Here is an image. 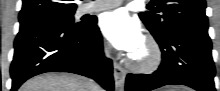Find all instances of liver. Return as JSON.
<instances>
[{
    "label": "liver",
    "mask_w": 220,
    "mask_h": 91,
    "mask_svg": "<svg viewBox=\"0 0 220 91\" xmlns=\"http://www.w3.org/2000/svg\"><path fill=\"white\" fill-rule=\"evenodd\" d=\"M19 91H102L91 79L69 73H46L26 81Z\"/></svg>",
    "instance_id": "liver-1"
}]
</instances>
